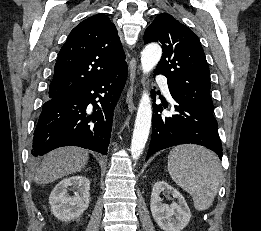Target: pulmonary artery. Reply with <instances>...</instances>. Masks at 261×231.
Masks as SVG:
<instances>
[{
	"label": "pulmonary artery",
	"instance_id": "pulmonary-artery-1",
	"mask_svg": "<svg viewBox=\"0 0 261 231\" xmlns=\"http://www.w3.org/2000/svg\"><path fill=\"white\" fill-rule=\"evenodd\" d=\"M156 83L163 89V91L169 96V88L167 83V78L163 75H158L156 77Z\"/></svg>",
	"mask_w": 261,
	"mask_h": 231
}]
</instances>
